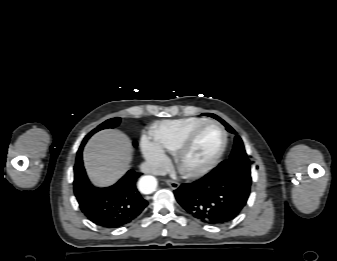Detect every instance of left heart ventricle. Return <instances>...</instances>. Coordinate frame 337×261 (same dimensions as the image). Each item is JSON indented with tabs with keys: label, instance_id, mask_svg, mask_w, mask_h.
I'll use <instances>...</instances> for the list:
<instances>
[{
	"label": "left heart ventricle",
	"instance_id": "1",
	"mask_svg": "<svg viewBox=\"0 0 337 261\" xmlns=\"http://www.w3.org/2000/svg\"><path fill=\"white\" fill-rule=\"evenodd\" d=\"M222 144V133L217 126L210 125L200 131L183 160L185 169L199 168L209 162Z\"/></svg>",
	"mask_w": 337,
	"mask_h": 261
}]
</instances>
